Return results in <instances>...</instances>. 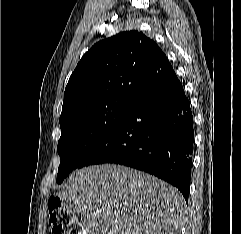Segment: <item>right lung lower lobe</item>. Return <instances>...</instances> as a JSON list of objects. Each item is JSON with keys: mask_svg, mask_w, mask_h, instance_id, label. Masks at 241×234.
<instances>
[{"mask_svg": "<svg viewBox=\"0 0 241 234\" xmlns=\"http://www.w3.org/2000/svg\"><path fill=\"white\" fill-rule=\"evenodd\" d=\"M193 143L190 102L172 71L132 104L79 168L101 163L130 166L174 185L188 201Z\"/></svg>", "mask_w": 241, "mask_h": 234, "instance_id": "obj_1", "label": "right lung lower lobe"}]
</instances>
